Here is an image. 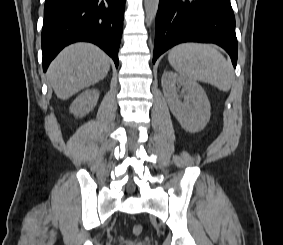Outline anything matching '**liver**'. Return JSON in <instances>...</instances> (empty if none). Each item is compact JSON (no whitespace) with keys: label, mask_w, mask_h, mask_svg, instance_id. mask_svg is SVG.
Returning a JSON list of instances; mask_svg holds the SVG:
<instances>
[{"label":"liver","mask_w":283,"mask_h":245,"mask_svg":"<svg viewBox=\"0 0 283 245\" xmlns=\"http://www.w3.org/2000/svg\"><path fill=\"white\" fill-rule=\"evenodd\" d=\"M109 69L110 59L101 49L90 43H76L52 61L47 76L56 96L66 100L104 79Z\"/></svg>","instance_id":"obj_1"}]
</instances>
